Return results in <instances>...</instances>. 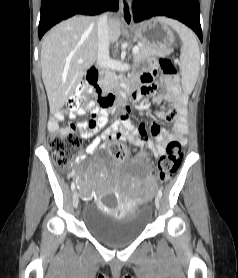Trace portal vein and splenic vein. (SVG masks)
<instances>
[{
    "instance_id": "obj_1",
    "label": "portal vein and splenic vein",
    "mask_w": 238,
    "mask_h": 278,
    "mask_svg": "<svg viewBox=\"0 0 238 278\" xmlns=\"http://www.w3.org/2000/svg\"><path fill=\"white\" fill-rule=\"evenodd\" d=\"M138 51H139V47L135 46L132 50L133 55H135ZM78 62H80V63L83 62V59H80Z\"/></svg>"
}]
</instances>
